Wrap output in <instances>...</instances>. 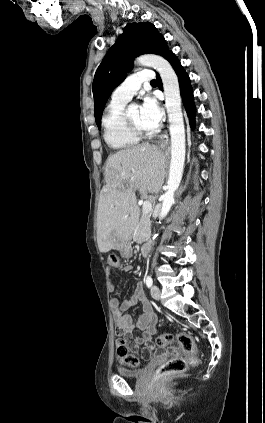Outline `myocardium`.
<instances>
[{
	"label": "myocardium",
	"instance_id": "1",
	"mask_svg": "<svg viewBox=\"0 0 265 423\" xmlns=\"http://www.w3.org/2000/svg\"><path fill=\"white\" fill-rule=\"evenodd\" d=\"M124 120L128 128L131 130L132 133L137 135L138 137L146 136L150 133L149 129H143L136 125L128 116V113H124Z\"/></svg>",
	"mask_w": 265,
	"mask_h": 423
}]
</instances>
